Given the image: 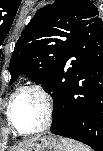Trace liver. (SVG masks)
Wrapping results in <instances>:
<instances>
[{"label": "liver", "mask_w": 103, "mask_h": 151, "mask_svg": "<svg viewBox=\"0 0 103 151\" xmlns=\"http://www.w3.org/2000/svg\"><path fill=\"white\" fill-rule=\"evenodd\" d=\"M35 138H32L30 140H27L23 143H20L18 146L14 147L12 151H26L30 143L34 140Z\"/></svg>", "instance_id": "liver-1"}]
</instances>
